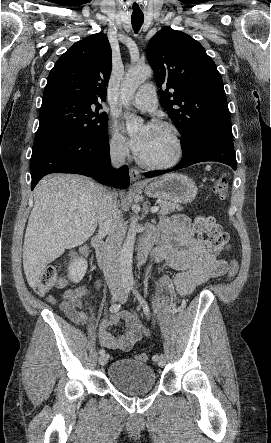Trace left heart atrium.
Returning a JSON list of instances; mask_svg holds the SVG:
<instances>
[{
    "instance_id": "left-heart-atrium-1",
    "label": "left heart atrium",
    "mask_w": 271,
    "mask_h": 443,
    "mask_svg": "<svg viewBox=\"0 0 271 443\" xmlns=\"http://www.w3.org/2000/svg\"><path fill=\"white\" fill-rule=\"evenodd\" d=\"M151 127V124H144L139 132L130 141L131 148L139 155H142L147 148Z\"/></svg>"
}]
</instances>
